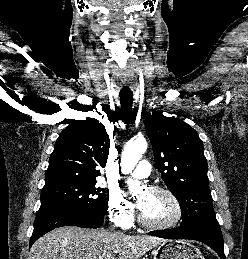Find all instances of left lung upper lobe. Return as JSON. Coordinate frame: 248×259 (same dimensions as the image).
Returning a JSON list of instances; mask_svg holds the SVG:
<instances>
[{
	"instance_id": "5c2ea615",
	"label": "left lung upper lobe",
	"mask_w": 248,
	"mask_h": 259,
	"mask_svg": "<svg viewBox=\"0 0 248 259\" xmlns=\"http://www.w3.org/2000/svg\"><path fill=\"white\" fill-rule=\"evenodd\" d=\"M145 127L156 167L180 203L182 225L214 218L207 161L196 131L182 120L159 112L146 119Z\"/></svg>"
}]
</instances>
